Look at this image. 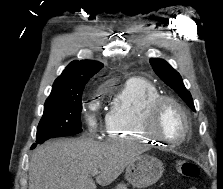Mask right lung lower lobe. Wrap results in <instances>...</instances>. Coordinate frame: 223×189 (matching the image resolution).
I'll return each instance as SVG.
<instances>
[{
  "label": "right lung lower lobe",
  "instance_id": "obj_1",
  "mask_svg": "<svg viewBox=\"0 0 223 189\" xmlns=\"http://www.w3.org/2000/svg\"><path fill=\"white\" fill-rule=\"evenodd\" d=\"M37 144H39V143H35V144H33L32 147H31V149H34V148L36 147Z\"/></svg>",
  "mask_w": 223,
  "mask_h": 189
}]
</instances>
